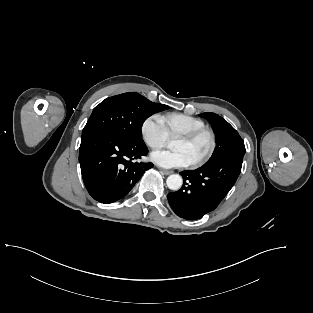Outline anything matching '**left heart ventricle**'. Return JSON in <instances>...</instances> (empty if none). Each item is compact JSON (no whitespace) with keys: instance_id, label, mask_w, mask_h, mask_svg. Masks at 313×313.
<instances>
[{"instance_id":"b2bd125f","label":"left heart ventricle","mask_w":313,"mask_h":313,"mask_svg":"<svg viewBox=\"0 0 313 313\" xmlns=\"http://www.w3.org/2000/svg\"><path fill=\"white\" fill-rule=\"evenodd\" d=\"M209 144V137L204 135L192 142H186L178 138L174 143V148L183 150L188 155L190 161L193 162L207 151Z\"/></svg>"}]
</instances>
